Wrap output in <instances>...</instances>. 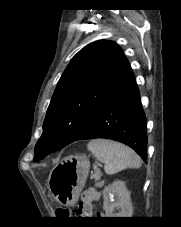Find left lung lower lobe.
<instances>
[{
	"label": "left lung lower lobe",
	"mask_w": 181,
	"mask_h": 227,
	"mask_svg": "<svg viewBox=\"0 0 181 227\" xmlns=\"http://www.w3.org/2000/svg\"><path fill=\"white\" fill-rule=\"evenodd\" d=\"M147 128L140 95L131 73L100 105L77 140L107 138L122 142L147 160Z\"/></svg>",
	"instance_id": "1"
}]
</instances>
